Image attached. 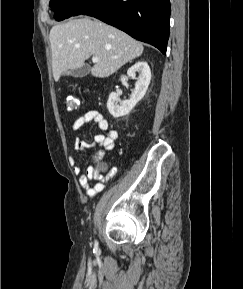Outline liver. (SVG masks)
<instances>
[{"label":"liver","instance_id":"6515ba94","mask_svg":"<svg viewBox=\"0 0 243 289\" xmlns=\"http://www.w3.org/2000/svg\"><path fill=\"white\" fill-rule=\"evenodd\" d=\"M49 39L55 81L64 71L82 67L92 55L99 61L90 68L91 74L109 77L144 50L140 42L123 31L88 17L53 26Z\"/></svg>","mask_w":243,"mask_h":289}]
</instances>
